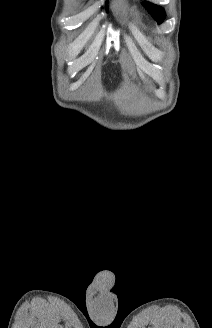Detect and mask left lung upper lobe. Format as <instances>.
Returning a JSON list of instances; mask_svg holds the SVG:
<instances>
[{
    "mask_svg": "<svg viewBox=\"0 0 212 328\" xmlns=\"http://www.w3.org/2000/svg\"><path fill=\"white\" fill-rule=\"evenodd\" d=\"M142 5L148 10V12L158 23H161L165 19V11L163 8L147 1L142 2Z\"/></svg>",
    "mask_w": 212,
    "mask_h": 328,
    "instance_id": "obj_1",
    "label": "left lung upper lobe"
}]
</instances>
